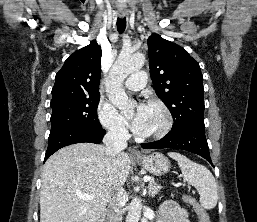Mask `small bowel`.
<instances>
[{
	"mask_svg": "<svg viewBox=\"0 0 257 222\" xmlns=\"http://www.w3.org/2000/svg\"><path fill=\"white\" fill-rule=\"evenodd\" d=\"M158 222H190L185 209L173 201H166L162 204Z\"/></svg>",
	"mask_w": 257,
	"mask_h": 222,
	"instance_id": "c3829d8e",
	"label": "small bowel"
}]
</instances>
